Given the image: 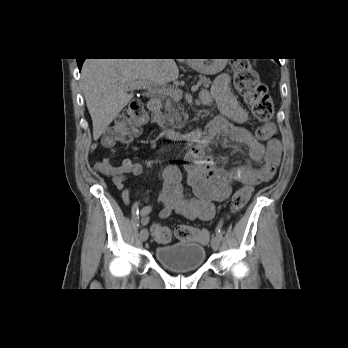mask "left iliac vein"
I'll use <instances>...</instances> for the list:
<instances>
[{"label":"left iliac vein","mask_w":348,"mask_h":348,"mask_svg":"<svg viewBox=\"0 0 348 348\" xmlns=\"http://www.w3.org/2000/svg\"><path fill=\"white\" fill-rule=\"evenodd\" d=\"M220 239L217 236H214L211 240V246L213 250H218L220 248Z\"/></svg>","instance_id":"left-iliac-vein-1"}]
</instances>
